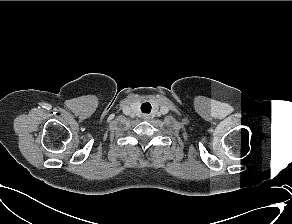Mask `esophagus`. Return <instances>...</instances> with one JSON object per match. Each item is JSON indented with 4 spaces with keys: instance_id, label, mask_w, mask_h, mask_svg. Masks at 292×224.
<instances>
[{
    "instance_id": "1",
    "label": "esophagus",
    "mask_w": 292,
    "mask_h": 224,
    "mask_svg": "<svg viewBox=\"0 0 292 224\" xmlns=\"http://www.w3.org/2000/svg\"><path fill=\"white\" fill-rule=\"evenodd\" d=\"M144 119L146 120V119H148V117L147 116H144Z\"/></svg>"
}]
</instances>
